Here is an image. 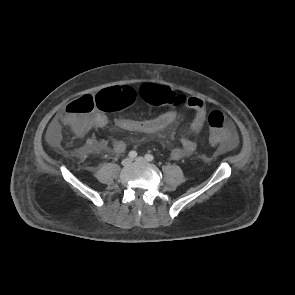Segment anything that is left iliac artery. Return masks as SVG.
<instances>
[{
  "label": "left iliac artery",
  "mask_w": 295,
  "mask_h": 295,
  "mask_svg": "<svg viewBox=\"0 0 295 295\" xmlns=\"http://www.w3.org/2000/svg\"><path fill=\"white\" fill-rule=\"evenodd\" d=\"M145 159H146L147 161H152V160L154 159V156H153L152 154H146V155H145Z\"/></svg>",
  "instance_id": "44dca946"
}]
</instances>
